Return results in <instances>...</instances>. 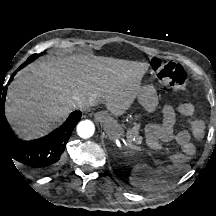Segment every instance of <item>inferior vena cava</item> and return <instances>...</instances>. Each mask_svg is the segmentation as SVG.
Wrapping results in <instances>:
<instances>
[{
    "label": "inferior vena cava",
    "mask_w": 216,
    "mask_h": 216,
    "mask_svg": "<svg viewBox=\"0 0 216 216\" xmlns=\"http://www.w3.org/2000/svg\"><path fill=\"white\" fill-rule=\"evenodd\" d=\"M93 106L90 99L87 98H77L73 107L80 110V111H89L90 107Z\"/></svg>",
    "instance_id": "obj_1"
}]
</instances>
